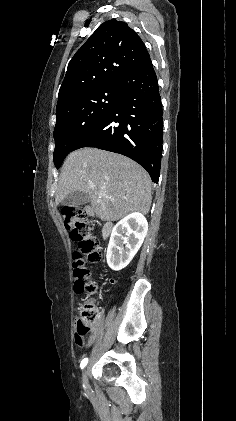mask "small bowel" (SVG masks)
<instances>
[{
	"label": "small bowel",
	"instance_id": "small-bowel-1",
	"mask_svg": "<svg viewBox=\"0 0 236 421\" xmlns=\"http://www.w3.org/2000/svg\"><path fill=\"white\" fill-rule=\"evenodd\" d=\"M113 282V280H111ZM101 324H97L94 328L92 333L88 336V338L85 340V343L90 344L94 341V337L97 334V332L100 330Z\"/></svg>",
	"mask_w": 236,
	"mask_h": 421
}]
</instances>
